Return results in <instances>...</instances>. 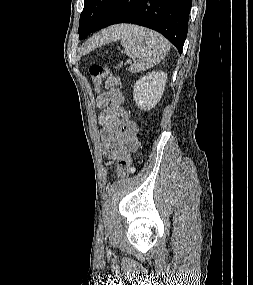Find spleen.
Returning <instances> with one entry per match:
<instances>
[{"mask_svg": "<svg viewBox=\"0 0 253 285\" xmlns=\"http://www.w3.org/2000/svg\"><path fill=\"white\" fill-rule=\"evenodd\" d=\"M118 39L125 48L124 53L134 61L129 68L132 73L155 66L170 50V43L165 37L140 26H131Z\"/></svg>", "mask_w": 253, "mask_h": 285, "instance_id": "1", "label": "spleen"}]
</instances>
